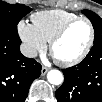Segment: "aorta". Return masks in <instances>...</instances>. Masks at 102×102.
Returning a JSON list of instances; mask_svg holds the SVG:
<instances>
[{
    "instance_id": "obj_1",
    "label": "aorta",
    "mask_w": 102,
    "mask_h": 102,
    "mask_svg": "<svg viewBox=\"0 0 102 102\" xmlns=\"http://www.w3.org/2000/svg\"><path fill=\"white\" fill-rule=\"evenodd\" d=\"M47 79L52 85H60L63 82V74L59 70L53 69L48 72Z\"/></svg>"
}]
</instances>
